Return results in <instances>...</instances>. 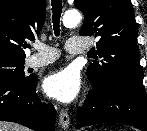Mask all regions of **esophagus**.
<instances>
[{"label":"esophagus","mask_w":147,"mask_h":131,"mask_svg":"<svg viewBox=\"0 0 147 131\" xmlns=\"http://www.w3.org/2000/svg\"><path fill=\"white\" fill-rule=\"evenodd\" d=\"M59 125L63 130H67L70 125V118L67 110L61 109L59 115Z\"/></svg>","instance_id":"obj_1"}]
</instances>
